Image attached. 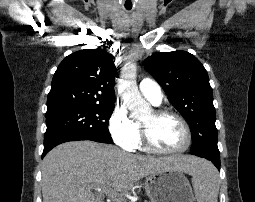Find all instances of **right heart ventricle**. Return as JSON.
<instances>
[{
    "label": "right heart ventricle",
    "mask_w": 255,
    "mask_h": 202,
    "mask_svg": "<svg viewBox=\"0 0 255 202\" xmlns=\"http://www.w3.org/2000/svg\"><path fill=\"white\" fill-rule=\"evenodd\" d=\"M137 124V129H138V138H137V142H136V146L135 147H138L141 145V135H140V125L138 123Z\"/></svg>",
    "instance_id": "right-heart-ventricle-1"
}]
</instances>
